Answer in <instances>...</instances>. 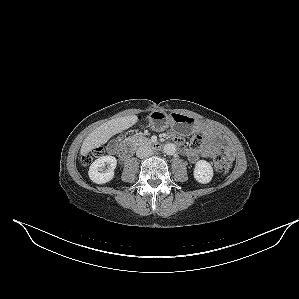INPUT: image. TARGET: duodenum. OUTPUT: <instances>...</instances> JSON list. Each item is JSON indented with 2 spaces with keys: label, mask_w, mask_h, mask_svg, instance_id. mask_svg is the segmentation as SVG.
Here are the masks:
<instances>
[{
  "label": "duodenum",
  "mask_w": 299,
  "mask_h": 299,
  "mask_svg": "<svg viewBox=\"0 0 299 299\" xmlns=\"http://www.w3.org/2000/svg\"><path fill=\"white\" fill-rule=\"evenodd\" d=\"M137 145L134 141H126L118 146V153L121 157H129L131 153L133 152L135 146ZM148 146H150L152 149L159 150L162 148V144L157 141H152L148 143Z\"/></svg>",
  "instance_id": "410a0bca"
}]
</instances>
